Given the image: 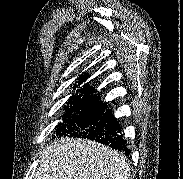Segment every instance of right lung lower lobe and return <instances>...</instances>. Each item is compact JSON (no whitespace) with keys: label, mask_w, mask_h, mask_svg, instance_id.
<instances>
[{"label":"right lung lower lobe","mask_w":183,"mask_h":179,"mask_svg":"<svg viewBox=\"0 0 183 179\" xmlns=\"http://www.w3.org/2000/svg\"><path fill=\"white\" fill-rule=\"evenodd\" d=\"M73 137L95 140L119 151L122 150L126 154L130 153L121 134V126L111 110H106L95 124Z\"/></svg>","instance_id":"right-lung-lower-lobe-1"}]
</instances>
